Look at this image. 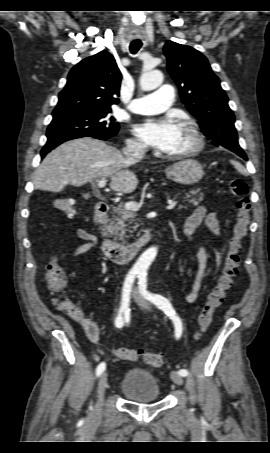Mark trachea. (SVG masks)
<instances>
[{
	"label": "trachea",
	"mask_w": 270,
	"mask_h": 453,
	"mask_svg": "<svg viewBox=\"0 0 270 453\" xmlns=\"http://www.w3.org/2000/svg\"><path fill=\"white\" fill-rule=\"evenodd\" d=\"M141 46H142V42H141L140 40H134V41H132V42L130 43V47H129L130 52H131L132 54H136V53L139 51V49L141 48Z\"/></svg>",
	"instance_id": "3493384b"
}]
</instances>
